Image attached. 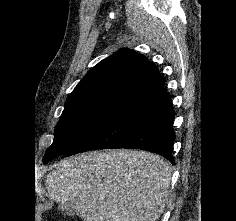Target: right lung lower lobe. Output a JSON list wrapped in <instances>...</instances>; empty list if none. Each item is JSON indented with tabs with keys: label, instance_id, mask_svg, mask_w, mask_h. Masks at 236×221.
I'll list each match as a JSON object with an SVG mask.
<instances>
[{
	"label": "right lung lower lobe",
	"instance_id": "1",
	"mask_svg": "<svg viewBox=\"0 0 236 221\" xmlns=\"http://www.w3.org/2000/svg\"><path fill=\"white\" fill-rule=\"evenodd\" d=\"M174 117L171 99L160 79L135 93L65 156L96 149L131 148L163 155L174 164Z\"/></svg>",
	"mask_w": 236,
	"mask_h": 221
}]
</instances>
